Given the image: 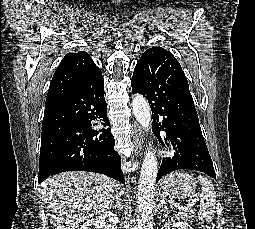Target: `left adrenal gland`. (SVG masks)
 <instances>
[{
	"label": "left adrenal gland",
	"mask_w": 255,
	"mask_h": 229,
	"mask_svg": "<svg viewBox=\"0 0 255 229\" xmlns=\"http://www.w3.org/2000/svg\"><path fill=\"white\" fill-rule=\"evenodd\" d=\"M158 208L161 210V212H167V206L165 204V201L162 198L160 200Z\"/></svg>",
	"instance_id": "obj_1"
}]
</instances>
